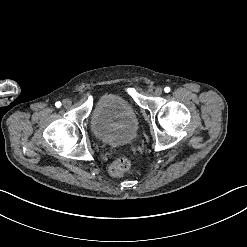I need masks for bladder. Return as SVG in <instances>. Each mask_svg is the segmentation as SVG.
<instances>
[{
    "label": "bladder",
    "mask_w": 247,
    "mask_h": 247,
    "mask_svg": "<svg viewBox=\"0 0 247 247\" xmlns=\"http://www.w3.org/2000/svg\"><path fill=\"white\" fill-rule=\"evenodd\" d=\"M92 128L103 143L124 144L135 136L138 121L131 103L119 95L97 97L92 114Z\"/></svg>",
    "instance_id": "obj_1"
}]
</instances>
